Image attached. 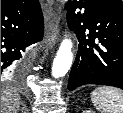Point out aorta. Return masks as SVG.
Wrapping results in <instances>:
<instances>
[{
	"label": "aorta",
	"mask_w": 123,
	"mask_h": 113,
	"mask_svg": "<svg viewBox=\"0 0 123 113\" xmlns=\"http://www.w3.org/2000/svg\"><path fill=\"white\" fill-rule=\"evenodd\" d=\"M72 42L65 38L57 51L52 65V76L56 79L66 75L73 61Z\"/></svg>",
	"instance_id": "aorta-1"
}]
</instances>
